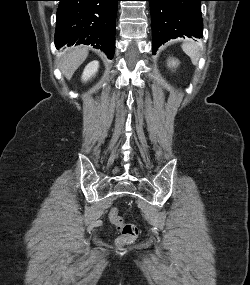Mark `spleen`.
<instances>
[{
    "label": "spleen",
    "instance_id": "3e777b00",
    "mask_svg": "<svg viewBox=\"0 0 250 285\" xmlns=\"http://www.w3.org/2000/svg\"><path fill=\"white\" fill-rule=\"evenodd\" d=\"M183 51L190 57L194 65H198L201 56V45L195 41H186L182 44Z\"/></svg>",
    "mask_w": 250,
    "mask_h": 285
}]
</instances>
